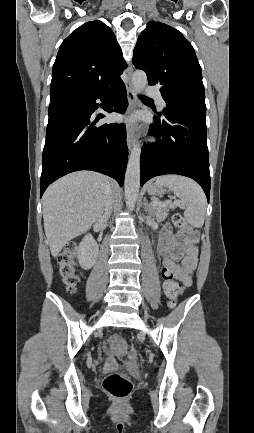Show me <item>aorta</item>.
<instances>
[{
  "instance_id": "aorta-1",
  "label": "aorta",
  "mask_w": 254,
  "mask_h": 433,
  "mask_svg": "<svg viewBox=\"0 0 254 433\" xmlns=\"http://www.w3.org/2000/svg\"><path fill=\"white\" fill-rule=\"evenodd\" d=\"M134 91L140 94L147 85V75L144 71L137 70L132 75ZM140 154L141 148L136 143L131 149L127 164L124 191L126 206L131 211L135 208L140 188Z\"/></svg>"
}]
</instances>
